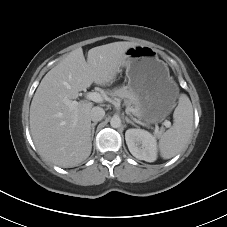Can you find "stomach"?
I'll list each match as a JSON object with an SVG mask.
<instances>
[{"mask_svg": "<svg viewBox=\"0 0 227 227\" xmlns=\"http://www.w3.org/2000/svg\"><path fill=\"white\" fill-rule=\"evenodd\" d=\"M125 56L123 66L137 100V117L148 126L161 122L172 111L179 92L167 64L156 49L145 45L130 47Z\"/></svg>", "mask_w": 227, "mask_h": 227, "instance_id": "obj_1", "label": "stomach"}]
</instances>
